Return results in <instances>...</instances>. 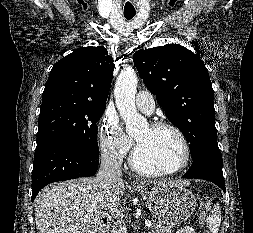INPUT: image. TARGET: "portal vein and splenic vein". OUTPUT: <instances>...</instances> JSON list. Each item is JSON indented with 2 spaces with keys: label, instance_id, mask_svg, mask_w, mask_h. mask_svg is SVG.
<instances>
[{
  "label": "portal vein and splenic vein",
  "instance_id": "1",
  "mask_svg": "<svg viewBox=\"0 0 253 233\" xmlns=\"http://www.w3.org/2000/svg\"><path fill=\"white\" fill-rule=\"evenodd\" d=\"M145 225L151 227V226H152V223H151L150 220H146V221H145Z\"/></svg>",
  "mask_w": 253,
  "mask_h": 233
}]
</instances>
